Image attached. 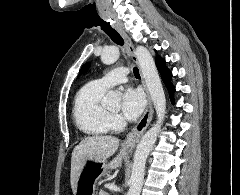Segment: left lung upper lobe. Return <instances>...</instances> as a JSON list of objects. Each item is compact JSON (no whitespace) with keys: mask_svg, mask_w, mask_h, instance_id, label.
<instances>
[{"mask_svg":"<svg viewBox=\"0 0 240 195\" xmlns=\"http://www.w3.org/2000/svg\"><path fill=\"white\" fill-rule=\"evenodd\" d=\"M157 58H159V56ZM89 65H90L89 63L84 64L79 72V75H81L84 71H86L88 69Z\"/></svg>","mask_w":240,"mask_h":195,"instance_id":"1","label":"left lung upper lobe"}]
</instances>
